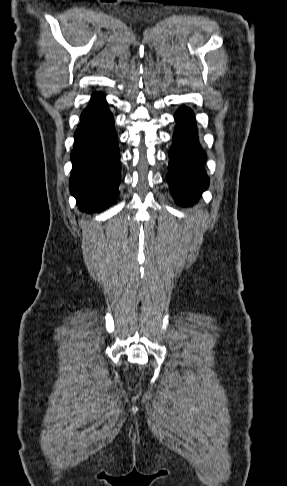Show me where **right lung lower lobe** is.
Wrapping results in <instances>:
<instances>
[{"label": "right lung lower lobe", "instance_id": "right-lung-lower-lobe-1", "mask_svg": "<svg viewBox=\"0 0 287 486\" xmlns=\"http://www.w3.org/2000/svg\"><path fill=\"white\" fill-rule=\"evenodd\" d=\"M74 137L71 194L82 211L99 212L116 200L121 179L117 134L103 94L92 95Z\"/></svg>", "mask_w": 287, "mask_h": 486}]
</instances>
